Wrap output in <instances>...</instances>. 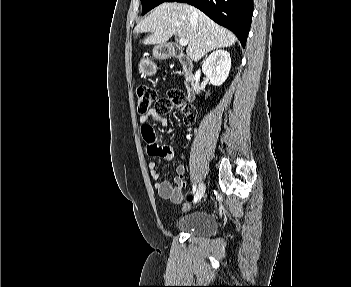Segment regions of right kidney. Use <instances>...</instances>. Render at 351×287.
I'll list each match as a JSON object with an SVG mask.
<instances>
[{
	"mask_svg": "<svg viewBox=\"0 0 351 287\" xmlns=\"http://www.w3.org/2000/svg\"><path fill=\"white\" fill-rule=\"evenodd\" d=\"M231 68L230 54L225 50H216L212 52L203 62L201 70L195 73L193 87L195 91L200 92L199 81L201 71L214 86L222 85L227 79Z\"/></svg>",
	"mask_w": 351,
	"mask_h": 287,
	"instance_id": "obj_1",
	"label": "right kidney"
}]
</instances>
